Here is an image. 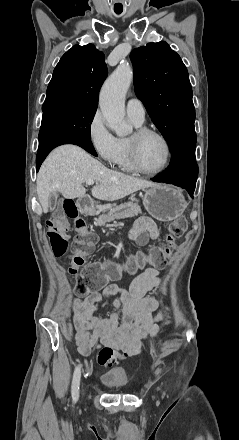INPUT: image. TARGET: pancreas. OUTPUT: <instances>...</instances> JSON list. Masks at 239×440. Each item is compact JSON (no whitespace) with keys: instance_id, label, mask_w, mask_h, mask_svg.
Listing matches in <instances>:
<instances>
[{"instance_id":"pancreas-1","label":"pancreas","mask_w":239,"mask_h":440,"mask_svg":"<svg viewBox=\"0 0 239 440\" xmlns=\"http://www.w3.org/2000/svg\"><path fill=\"white\" fill-rule=\"evenodd\" d=\"M109 212L101 214L99 218H96L98 226H105L107 222H114V220H124V218H133V216H138L142 214V210L138 204L134 202H125V204H120V206H113V208H108ZM95 214V212H94ZM98 216V214H96Z\"/></svg>"}]
</instances>
